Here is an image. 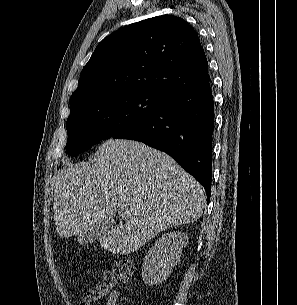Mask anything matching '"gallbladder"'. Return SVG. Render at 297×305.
Segmentation results:
<instances>
[{
	"label": "gallbladder",
	"mask_w": 297,
	"mask_h": 305,
	"mask_svg": "<svg viewBox=\"0 0 297 305\" xmlns=\"http://www.w3.org/2000/svg\"><path fill=\"white\" fill-rule=\"evenodd\" d=\"M112 227H113L112 223H107L106 221H103L99 224H96L88 232L79 234L77 237V242L80 245L93 243L99 238H102L109 230H111Z\"/></svg>",
	"instance_id": "obj_1"
}]
</instances>
